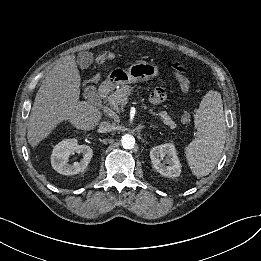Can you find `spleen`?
<instances>
[{
	"label": "spleen",
	"mask_w": 261,
	"mask_h": 261,
	"mask_svg": "<svg viewBox=\"0 0 261 261\" xmlns=\"http://www.w3.org/2000/svg\"><path fill=\"white\" fill-rule=\"evenodd\" d=\"M197 137L186 147V158L197 177L208 175L217 164L224 149L226 125L221 95L209 91L195 114Z\"/></svg>",
	"instance_id": "1"
}]
</instances>
